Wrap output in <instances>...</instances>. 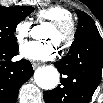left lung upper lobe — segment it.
<instances>
[{"instance_id":"obj_1","label":"left lung upper lobe","mask_w":103,"mask_h":103,"mask_svg":"<svg viewBox=\"0 0 103 103\" xmlns=\"http://www.w3.org/2000/svg\"><path fill=\"white\" fill-rule=\"evenodd\" d=\"M76 14L79 21L74 41L78 40L89 31L97 30L94 20L88 14L80 10L76 11Z\"/></svg>"}]
</instances>
